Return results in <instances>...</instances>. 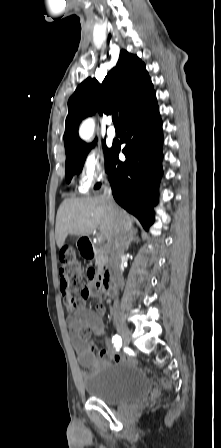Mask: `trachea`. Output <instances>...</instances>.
Here are the masks:
<instances>
[{
  "mask_svg": "<svg viewBox=\"0 0 221 448\" xmlns=\"http://www.w3.org/2000/svg\"><path fill=\"white\" fill-rule=\"evenodd\" d=\"M112 120L115 126L119 125L120 126V122H119V118H118V113L114 112L112 115Z\"/></svg>",
  "mask_w": 221,
  "mask_h": 448,
  "instance_id": "trachea-1",
  "label": "trachea"
}]
</instances>
